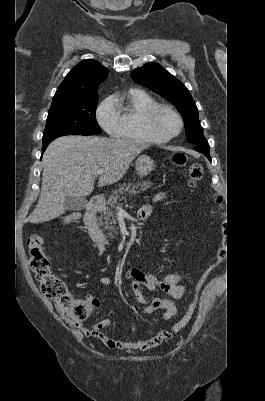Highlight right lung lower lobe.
Wrapping results in <instances>:
<instances>
[{
    "instance_id": "98d812e1",
    "label": "right lung lower lobe",
    "mask_w": 265,
    "mask_h": 401,
    "mask_svg": "<svg viewBox=\"0 0 265 401\" xmlns=\"http://www.w3.org/2000/svg\"><path fill=\"white\" fill-rule=\"evenodd\" d=\"M48 144H49V143L43 144V146H42V152H44V151L46 150Z\"/></svg>"
}]
</instances>
